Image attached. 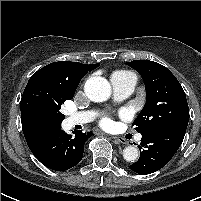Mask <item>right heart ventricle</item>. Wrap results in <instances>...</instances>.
<instances>
[{
  "label": "right heart ventricle",
  "instance_id": "e07e8e85",
  "mask_svg": "<svg viewBox=\"0 0 201 201\" xmlns=\"http://www.w3.org/2000/svg\"><path fill=\"white\" fill-rule=\"evenodd\" d=\"M127 74H130L129 71H126V70H118V71H115L112 76L114 75H127Z\"/></svg>",
  "mask_w": 201,
  "mask_h": 201
}]
</instances>
